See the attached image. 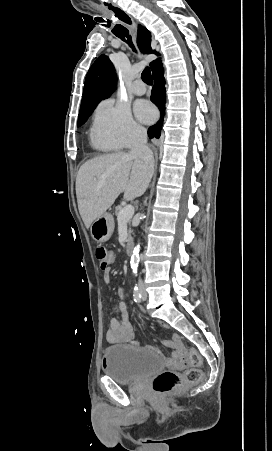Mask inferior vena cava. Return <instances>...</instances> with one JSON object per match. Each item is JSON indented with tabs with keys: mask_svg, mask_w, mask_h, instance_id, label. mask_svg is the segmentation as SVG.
<instances>
[{
	"mask_svg": "<svg viewBox=\"0 0 272 451\" xmlns=\"http://www.w3.org/2000/svg\"><path fill=\"white\" fill-rule=\"evenodd\" d=\"M147 144V132L146 130H138L135 138L131 142V152L132 156H139L141 160H144L146 164H152L153 162V152L149 150ZM139 285H143L142 279H139Z\"/></svg>",
	"mask_w": 272,
	"mask_h": 451,
	"instance_id": "inferior-vena-cava-1",
	"label": "inferior vena cava"
}]
</instances>
